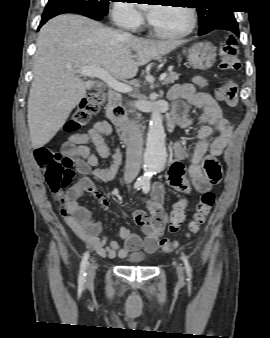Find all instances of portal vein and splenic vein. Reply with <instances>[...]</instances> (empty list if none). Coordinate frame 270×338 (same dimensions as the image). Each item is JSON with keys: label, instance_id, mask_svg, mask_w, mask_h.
Masks as SVG:
<instances>
[{"label": "portal vein and splenic vein", "instance_id": "portal-vein-and-splenic-vein-1", "mask_svg": "<svg viewBox=\"0 0 270 338\" xmlns=\"http://www.w3.org/2000/svg\"><path fill=\"white\" fill-rule=\"evenodd\" d=\"M68 68H69V70L74 71V72H76L80 75L89 76V77H96L98 79H101L109 87H111L112 89H114L117 92L129 93V92L132 91L131 86L124 84V83H121V82L117 81L116 79H114L113 77H111V75L108 73V71L106 69L94 67V66H86V67H81L79 69H73L71 66H69ZM166 77H167V74L162 73L159 77V80L163 81V80H165Z\"/></svg>", "mask_w": 270, "mask_h": 338}]
</instances>
